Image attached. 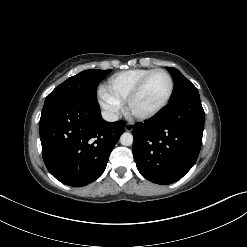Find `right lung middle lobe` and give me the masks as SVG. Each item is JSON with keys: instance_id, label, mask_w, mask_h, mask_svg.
I'll return each mask as SVG.
<instances>
[{"instance_id": "1", "label": "right lung middle lobe", "mask_w": 247, "mask_h": 247, "mask_svg": "<svg viewBox=\"0 0 247 247\" xmlns=\"http://www.w3.org/2000/svg\"><path fill=\"white\" fill-rule=\"evenodd\" d=\"M110 72V69H91L82 71L57 86L46 97L45 102L59 98H73L87 102H97V86Z\"/></svg>"}]
</instances>
